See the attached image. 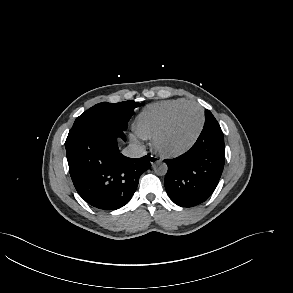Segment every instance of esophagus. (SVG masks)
Segmentation results:
<instances>
[{"label": "esophagus", "mask_w": 293, "mask_h": 293, "mask_svg": "<svg viewBox=\"0 0 293 293\" xmlns=\"http://www.w3.org/2000/svg\"><path fill=\"white\" fill-rule=\"evenodd\" d=\"M149 161L152 165H154V164L160 162L161 160L159 157L151 155L149 158Z\"/></svg>", "instance_id": "1"}]
</instances>
